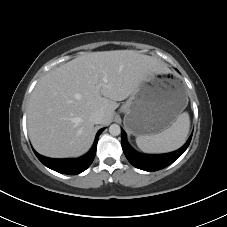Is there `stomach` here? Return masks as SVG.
I'll list each match as a JSON object with an SVG mask.
<instances>
[{
  "mask_svg": "<svg viewBox=\"0 0 227 227\" xmlns=\"http://www.w3.org/2000/svg\"><path fill=\"white\" fill-rule=\"evenodd\" d=\"M187 103L178 79L149 75L121 107L124 126L134 136L156 135L176 121Z\"/></svg>",
  "mask_w": 227,
  "mask_h": 227,
  "instance_id": "1",
  "label": "stomach"
}]
</instances>
